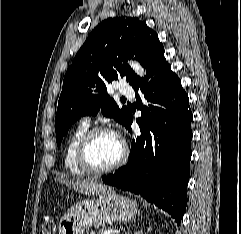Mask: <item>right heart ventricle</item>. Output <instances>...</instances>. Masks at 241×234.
<instances>
[{"instance_id": "obj_1", "label": "right heart ventricle", "mask_w": 241, "mask_h": 234, "mask_svg": "<svg viewBox=\"0 0 241 234\" xmlns=\"http://www.w3.org/2000/svg\"><path fill=\"white\" fill-rule=\"evenodd\" d=\"M89 130V124L79 123L68 137L64 152V167L66 171L75 177H82L86 172L77 161V148L84 134Z\"/></svg>"}]
</instances>
